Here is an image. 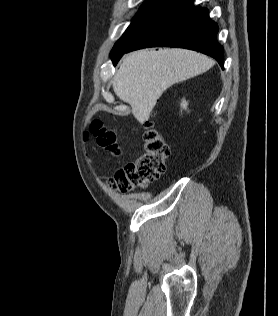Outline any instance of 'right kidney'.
Wrapping results in <instances>:
<instances>
[{
  "label": "right kidney",
  "mask_w": 278,
  "mask_h": 316,
  "mask_svg": "<svg viewBox=\"0 0 278 316\" xmlns=\"http://www.w3.org/2000/svg\"><path fill=\"white\" fill-rule=\"evenodd\" d=\"M187 105H188V103H187L185 100H183L182 103H181V107H182L183 109H186V108H187Z\"/></svg>",
  "instance_id": "1"
}]
</instances>
